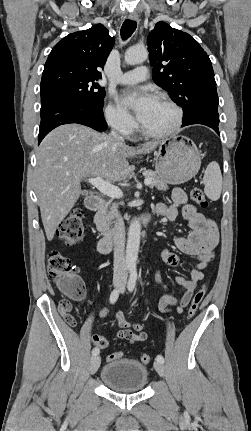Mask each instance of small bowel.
I'll return each instance as SVG.
<instances>
[{
  "instance_id": "small-bowel-1",
  "label": "small bowel",
  "mask_w": 251,
  "mask_h": 431,
  "mask_svg": "<svg viewBox=\"0 0 251 431\" xmlns=\"http://www.w3.org/2000/svg\"><path fill=\"white\" fill-rule=\"evenodd\" d=\"M154 211L171 221L175 220L181 211L183 218L191 228L187 237L174 239V244L178 250L184 254L195 256L198 260L191 271L190 278L176 277L175 279L176 283L184 288V294L180 299L172 295H164L158 303L159 310L162 312L170 311L172 306H176V311L182 313L189 304L198 282L204 278V269L215 257L219 241L218 229L210 218L200 213L196 207L188 202L185 192L180 188H175L172 191L171 205L158 203ZM162 259L165 264L170 266L178 264V257L169 250L162 252ZM156 280L163 288H166L162 283L160 271L156 274ZM109 311L110 307L103 308L99 317H106ZM116 319L119 325V330L115 332L117 339L124 340L129 344L143 342L147 339L143 322H131L125 318L122 312H117Z\"/></svg>"
}]
</instances>
